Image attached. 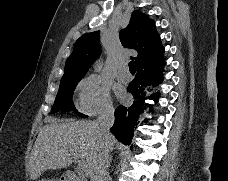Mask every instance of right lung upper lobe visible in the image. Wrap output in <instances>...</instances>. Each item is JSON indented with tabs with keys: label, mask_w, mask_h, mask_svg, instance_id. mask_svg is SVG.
<instances>
[{
	"label": "right lung upper lobe",
	"mask_w": 228,
	"mask_h": 181,
	"mask_svg": "<svg viewBox=\"0 0 228 181\" xmlns=\"http://www.w3.org/2000/svg\"><path fill=\"white\" fill-rule=\"evenodd\" d=\"M99 35V31L85 33L77 40L72 54L66 61L61 82L81 80L86 74L101 53ZM120 40L125 48L138 52V56L133 58L136 65L162 47L155 22L138 10L132 13L128 26L120 31Z\"/></svg>",
	"instance_id": "obj_1"
}]
</instances>
